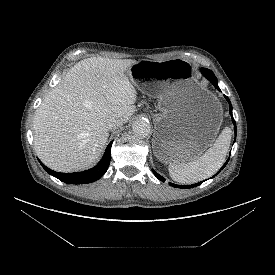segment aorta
I'll use <instances>...</instances> for the list:
<instances>
[{
  "label": "aorta",
  "instance_id": "obj_1",
  "mask_svg": "<svg viewBox=\"0 0 275 275\" xmlns=\"http://www.w3.org/2000/svg\"><path fill=\"white\" fill-rule=\"evenodd\" d=\"M132 131L136 136L146 137L151 131V125L146 119H137L132 124Z\"/></svg>",
  "mask_w": 275,
  "mask_h": 275
}]
</instances>
